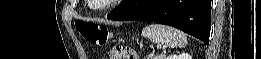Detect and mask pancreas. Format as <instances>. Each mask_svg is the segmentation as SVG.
<instances>
[{"label": "pancreas", "mask_w": 261, "mask_h": 59, "mask_svg": "<svg viewBox=\"0 0 261 59\" xmlns=\"http://www.w3.org/2000/svg\"><path fill=\"white\" fill-rule=\"evenodd\" d=\"M162 57H156L155 59H161Z\"/></svg>", "instance_id": "obj_1"}]
</instances>
